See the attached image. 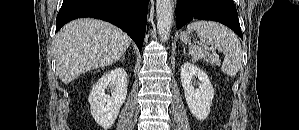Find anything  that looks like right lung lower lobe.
<instances>
[{"label":"right lung lower lobe","mask_w":299,"mask_h":130,"mask_svg":"<svg viewBox=\"0 0 299 130\" xmlns=\"http://www.w3.org/2000/svg\"><path fill=\"white\" fill-rule=\"evenodd\" d=\"M148 2V0H63L56 18V32L67 22L77 18L102 19L125 31L141 51Z\"/></svg>","instance_id":"98d812e1"}]
</instances>
